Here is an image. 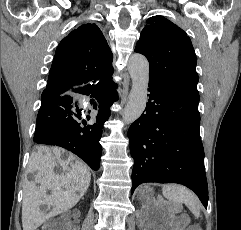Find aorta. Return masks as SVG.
Wrapping results in <instances>:
<instances>
[{
    "label": "aorta",
    "instance_id": "obj_1",
    "mask_svg": "<svg viewBox=\"0 0 241 230\" xmlns=\"http://www.w3.org/2000/svg\"><path fill=\"white\" fill-rule=\"evenodd\" d=\"M128 72L132 80V88L123 112V121L127 124L136 121L146 107L149 84V63L146 57L140 54L131 56Z\"/></svg>",
    "mask_w": 241,
    "mask_h": 230
}]
</instances>
